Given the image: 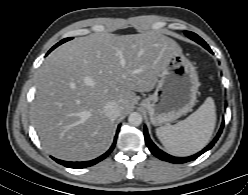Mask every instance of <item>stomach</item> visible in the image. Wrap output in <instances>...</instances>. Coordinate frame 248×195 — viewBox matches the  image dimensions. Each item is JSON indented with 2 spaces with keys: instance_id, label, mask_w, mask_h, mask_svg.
<instances>
[{
  "instance_id": "0dacf381",
  "label": "stomach",
  "mask_w": 248,
  "mask_h": 195,
  "mask_svg": "<svg viewBox=\"0 0 248 195\" xmlns=\"http://www.w3.org/2000/svg\"><path fill=\"white\" fill-rule=\"evenodd\" d=\"M198 87L193 64L182 52L174 53L168 57L154 93L141 106L147 110L153 125L168 124L191 111Z\"/></svg>"
}]
</instances>
